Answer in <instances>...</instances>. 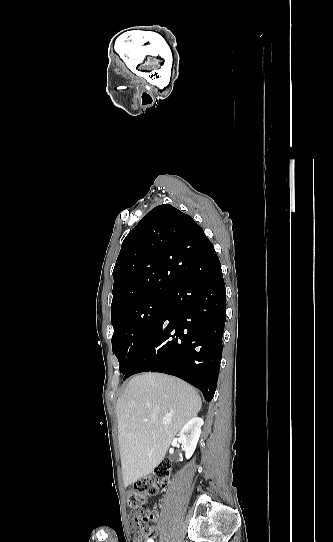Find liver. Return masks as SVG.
I'll use <instances>...</instances> for the list:
<instances>
[{
	"mask_svg": "<svg viewBox=\"0 0 333 542\" xmlns=\"http://www.w3.org/2000/svg\"><path fill=\"white\" fill-rule=\"evenodd\" d=\"M201 406L198 392L173 376L144 372L130 380L116 404L124 488L152 474Z\"/></svg>",
	"mask_w": 333,
	"mask_h": 542,
	"instance_id": "obj_1",
	"label": "liver"
}]
</instances>
